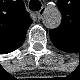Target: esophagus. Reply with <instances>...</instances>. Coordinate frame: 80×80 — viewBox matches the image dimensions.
Wrapping results in <instances>:
<instances>
[{
  "instance_id": "34e87169",
  "label": "esophagus",
  "mask_w": 80,
  "mask_h": 80,
  "mask_svg": "<svg viewBox=\"0 0 80 80\" xmlns=\"http://www.w3.org/2000/svg\"><path fill=\"white\" fill-rule=\"evenodd\" d=\"M45 11H46V10H43V11H39V12L37 13V16H38L39 19L42 18V15L45 13Z\"/></svg>"
}]
</instances>
